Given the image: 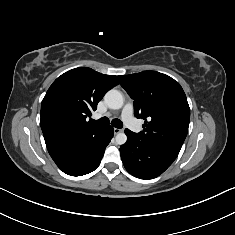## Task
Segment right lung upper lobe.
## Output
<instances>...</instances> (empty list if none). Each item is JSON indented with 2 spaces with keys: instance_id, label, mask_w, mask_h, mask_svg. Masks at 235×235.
<instances>
[{
  "instance_id": "cb5924a9",
  "label": "right lung upper lobe",
  "mask_w": 235,
  "mask_h": 235,
  "mask_svg": "<svg viewBox=\"0 0 235 235\" xmlns=\"http://www.w3.org/2000/svg\"><path fill=\"white\" fill-rule=\"evenodd\" d=\"M115 75L75 68L59 76L41 103L40 125L48 149L101 129L87 121L105 93L118 85Z\"/></svg>"
}]
</instances>
